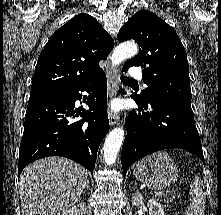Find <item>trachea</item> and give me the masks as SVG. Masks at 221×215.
<instances>
[{"label":"trachea","mask_w":221,"mask_h":215,"mask_svg":"<svg viewBox=\"0 0 221 215\" xmlns=\"http://www.w3.org/2000/svg\"><path fill=\"white\" fill-rule=\"evenodd\" d=\"M121 80H123V81H132V82L135 81V80H133V79H131V78L124 77V76H121Z\"/></svg>","instance_id":"3493384b"}]
</instances>
